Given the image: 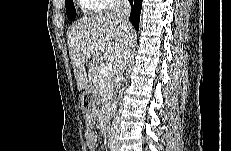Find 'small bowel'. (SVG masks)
Segmentation results:
<instances>
[{
    "instance_id": "c3829d8e",
    "label": "small bowel",
    "mask_w": 231,
    "mask_h": 151,
    "mask_svg": "<svg viewBox=\"0 0 231 151\" xmlns=\"http://www.w3.org/2000/svg\"><path fill=\"white\" fill-rule=\"evenodd\" d=\"M85 138L87 147L92 151L97 143V134L94 129V115L88 116L85 121Z\"/></svg>"
}]
</instances>
